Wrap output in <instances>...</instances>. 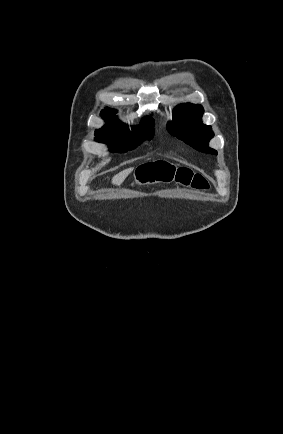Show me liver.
<instances>
[{
  "label": "liver",
  "instance_id": "obj_1",
  "mask_svg": "<svg viewBox=\"0 0 283 434\" xmlns=\"http://www.w3.org/2000/svg\"><path fill=\"white\" fill-rule=\"evenodd\" d=\"M134 168H128L125 169L121 172H119L118 174H116L113 178H112V184L114 185H121L123 183V181L126 179V177L133 171Z\"/></svg>",
  "mask_w": 283,
  "mask_h": 434
}]
</instances>
